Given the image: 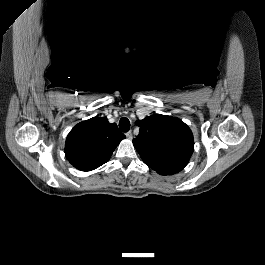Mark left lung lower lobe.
<instances>
[{"instance_id": "1", "label": "left lung lower lobe", "mask_w": 265, "mask_h": 265, "mask_svg": "<svg viewBox=\"0 0 265 265\" xmlns=\"http://www.w3.org/2000/svg\"><path fill=\"white\" fill-rule=\"evenodd\" d=\"M187 164H174L166 168L157 170V173L161 175H173L181 171Z\"/></svg>"}]
</instances>
